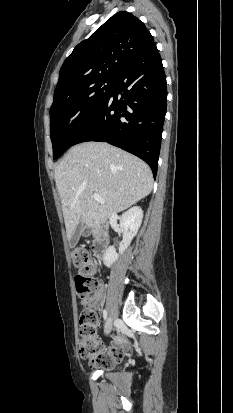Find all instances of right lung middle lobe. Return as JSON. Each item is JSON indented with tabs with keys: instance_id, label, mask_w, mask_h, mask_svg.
Listing matches in <instances>:
<instances>
[{
	"instance_id": "obj_1",
	"label": "right lung middle lobe",
	"mask_w": 233,
	"mask_h": 413,
	"mask_svg": "<svg viewBox=\"0 0 233 413\" xmlns=\"http://www.w3.org/2000/svg\"><path fill=\"white\" fill-rule=\"evenodd\" d=\"M114 78L102 79L53 101L50 137L57 159L91 123L113 92Z\"/></svg>"
}]
</instances>
